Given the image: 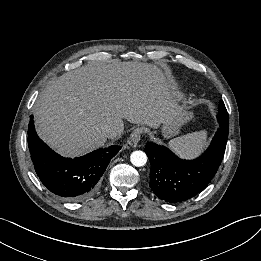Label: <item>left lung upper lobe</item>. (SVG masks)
I'll return each instance as SVG.
<instances>
[{
    "label": "left lung upper lobe",
    "mask_w": 261,
    "mask_h": 261,
    "mask_svg": "<svg viewBox=\"0 0 261 261\" xmlns=\"http://www.w3.org/2000/svg\"><path fill=\"white\" fill-rule=\"evenodd\" d=\"M219 111H223V112L225 113L224 115H226V116L228 115L227 110H226V108H225V105H224L223 101H220Z\"/></svg>",
    "instance_id": "5c2ea615"
}]
</instances>
